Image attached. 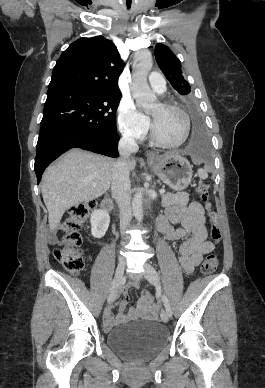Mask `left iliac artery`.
Here are the masks:
<instances>
[{"instance_id": "obj_1", "label": "left iliac artery", "mask_w": 265, "mask_h": 388, "mask_svg": "<svg viewBox=\"0 0 265 388\" xmlns=\"http://www.w3.org/2000/svg\"><path fill=\"white\" fill-rule=\"evenodd\" d=\"M162 301H163V303H164V306H165V308H166V311H167L169 317H172V314H173V313H172L171 307H170V305H169L168 299H167V297H166L165 295H163Z\"/></svg>"}]
</instances>
